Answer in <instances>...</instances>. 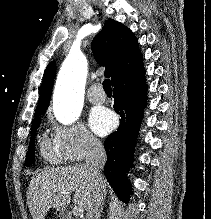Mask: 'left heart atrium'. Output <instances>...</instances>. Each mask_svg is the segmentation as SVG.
<instances>
[{
    "instance_id": "obj_1",
    "label": "left heart atrium",
    "mask_w": 211,
    "mask_h": 219,
    "mask_svg": "<svg viewBox=\"0 0 211 219\" xmlns=\"http://www.w3.org/2000/svg\"><path fill=\"white\" fill-rule=\"evenodd\" d=\"M116 120L111 111L106 108H96L90 115V126L98 135H105L115 126Z\"/></svg>"
}]
</instances>
